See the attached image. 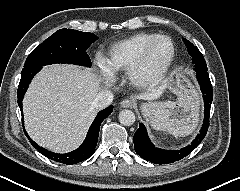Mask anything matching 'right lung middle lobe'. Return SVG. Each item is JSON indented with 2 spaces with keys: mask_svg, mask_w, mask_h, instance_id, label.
Listing matches in <instances>:
<instances>
[{
  "mask_svg": "<svg viewBox=\"0 0 240 191\" xmlns=\"http://www.w3.org/2000/svg\"><path fill=\"white\" fill-rule=\"evenodd\" d=\"M97 39L95 34L89 32L60 29L31 52L22 71L54 63L90 67L91 60L86 50Z\"/></svg>",
  "mask_w": 240,
  "mask_h": 191,
  "instance_id": "right-lung-middle-lobe-1",
  "label": "right lung middle lobe"
}]
</instances>
